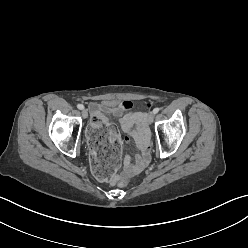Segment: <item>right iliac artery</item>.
Here are the masks:
<instances>
[{
  "label": "right iliac artery",
  "mask_w": 248,
  "mask_h": 248,
  "mask_svg": "<svg viewBox=\"0 0 248 248\" xmlns=\"http://www.w3.org/2000/svg\"><path fill=\"white\" fill-rule=\"evenodd\" d=\"M77 108L80 109V110H83L84 109V106L82 104H78L77 105Z\"/></svg>",
  "instance_id": "82829eb1"
}]
</instances>
